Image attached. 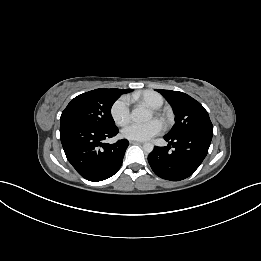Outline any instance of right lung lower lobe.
<instances>
[{"label":"right lung lower lobe","instance_id":"1","mask_svg":"<svg viewBox=\"0 0 261 261\" xmlns=\"http://www.w3.org/2000/svg\"><path fill=\"white\" fill-rule=\"evenodd\" d=\"M117 133V127L99 129L69 121L60 123V139L67 160L82 177L93 182L113 176L122 165L128 140L103 143Z\"/></svg>","mask_w":261,"mask_h":261}]
</instances>
